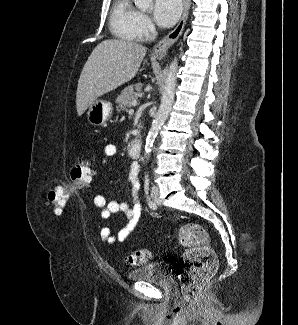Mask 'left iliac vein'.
Instances as JSON below:
<instances>
[{"instance_id": "obj_1", "label": "left iliac vein", "mask_w": 298, "mask_h": 325, "mask_svg": "<svg viewBox=\"0 0 298 325\" xmlns=\"http://www.w3.org/2000/svg\"><path fill=\"white\" fill-rule=\"evenodd\" d=\"M151 196L155 202L156 205H160L161 204V200L159 197V190L156 186H153L151 189Z\"/></svg>"}]
</instances>
